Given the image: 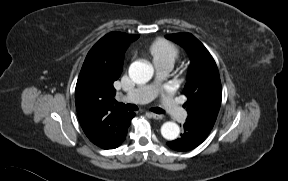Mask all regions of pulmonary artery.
Returning <instances> with one entry per match:
<instances>
[{"label": "pulmonary artery", "mask_w": 288, "mask_h": 181, "mask_svg": "<svg viewBox=\"0 0 288 181\" xmlns=\"http://www.w3.org/2000/svg\"><path fill=\"white\" fill-rule=\"evenodd\" d=\"M155 78L145 86H141L129 91L126 98L133 103H146L160 93L163 88L162 79L172 70L173 64L168 61L154 62ZM160 105L173 119L182 120L186 117V112L177 101L165 95L160 99Z\"/></svg>", "instance_id": "e3ab8cb5"}]
</instances>
